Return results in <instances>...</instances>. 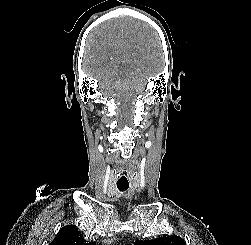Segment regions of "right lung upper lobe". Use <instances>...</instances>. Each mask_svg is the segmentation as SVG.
Instances as JSON below:
<instances>
[{
	"instance_id": "cb5924a9",
	"label": "right lung upper lobe",
	"mask_w": 251,
	"mask_h": 245,
	"mask_svg": "<svg viewBox=\"0 0 251 245\" xmlns=\"http://www.w3.org/2000/svg\"><path fill=\"white\" fill-rule=\"evenodd\" d=\"M49 245H95L93 241H85L75 226H64Z\"/></svg>"
}]
</instances>
